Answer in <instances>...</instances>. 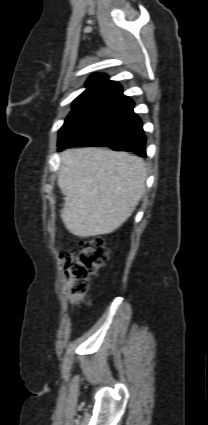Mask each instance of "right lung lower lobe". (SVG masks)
<instances>
[{
	"mask_svg": "<svg viewBox=\"0 0 208 425\" xmlns=\"http://www.w3.org/2000/svg\"><path fill=\"white\" fill-rule=\"evenodd\" d=\"M133 108V100L113 83L65 121L59 131L58 150L106 146L146 157V137Z\"/></svg>",
	"mask_w": 208,
	"mask_h": 425,
	"instance_id": "obj_1",
	"label": "right lung lower lobe"
}]
</instances>
